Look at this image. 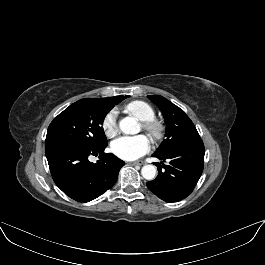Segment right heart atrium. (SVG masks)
I'll return each instance as SVG.
<instances>
[{
	"mask_svg": "<svg viewBox=\"0 0 265 265\" xmlns=\"http://www.w3.org/2000/svg\"><path fill=\"white\" fill-rule=\"evenodd\" d=\"M102 129L108 138H112L117 134L118 123H117V111H109L102 120Z\"/></svg>",
	"mask_w": 265,
	"mask_h": 265,
	"instance_id": "1",
	"label": "right heart atrium"
}]
</instances>
